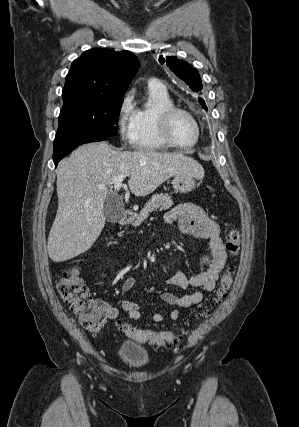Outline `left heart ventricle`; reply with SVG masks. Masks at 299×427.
<instances>
[{"label": "left heart ventricle", "instance_id": "left-heart-ventricle-1", "mask_svg": "<svg viewBox=\"0 0 299 427\" xmlns=\"http://www.w3.org/2000/svg\"><path fill=\"white\" fill-rule=\"evenodd\" d=\"M170 133L176 143L191 144L196 137L195 124L187 115L177 113L170 120Z\"/></svg>", "mask_w": 299, "mask_h": 427}]
</instances>
